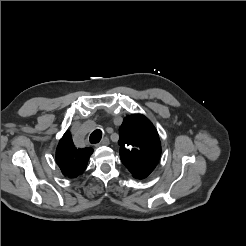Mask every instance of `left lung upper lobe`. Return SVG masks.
<instances>
[{"label":"left lung upper lobe","mask_w":246,"mask_h":246,"mask_svg":"<svg viewBox=\"0 0 246 246\" xmlns=\"http://www.w3.org/2000/svg\"><path fill=\"white\" fill-rule=\"evenodd\" d=\"M120 158L134 178H146L156 167L161 143L153 124L141 114L127 116L119 129Z\"/></svg>","instance_id":"obj_1"}]
</instances>
